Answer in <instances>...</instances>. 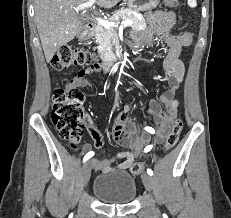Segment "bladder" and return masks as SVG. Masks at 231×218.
<instances>
[{
	"label": "bladder",
	"mask_w": 231,
	"mask_h": 218,
	"mask_svg": "<svg viewBox=\"0 0 231 218\" xmlns=\"http://www.w3.org/2000/svg\"><path fill=\"white\" fill-rule=\"evenodd\" d=\"M93 193L106 203H129L136 195V184L127 174L99 175L94 180Z\"/></svg>",
	"instance_id": "31cf9c89"
}]
</instances>
